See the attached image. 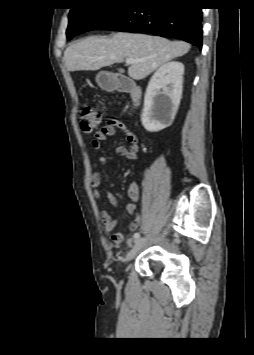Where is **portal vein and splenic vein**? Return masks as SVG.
Instances as JSON below:
<instances>
[{
  "label": "portal vein and splenic vein",
  "mask_w": 254,
  "mask_h": 355,
  "mask_svg": "<svg viewBox=\"0 0 254 355\" xmlns=\"http://www.w3.org/2000/svg\"><path fill=\"white\" fill-rule=\"evenodd\" d=\"M125 61H126V64H128V65L138 62L137 60H134L132 58H127Z\"/></svg>",
  "instance_id": "18ae733b"
}]
</instances>
